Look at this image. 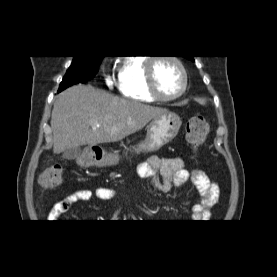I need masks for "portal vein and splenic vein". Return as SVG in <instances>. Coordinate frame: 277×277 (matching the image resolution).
<instances>
[{"mask_svg": "<svg viewBox=\"0 0 277 277\" xmlns=\"http://www.w3.org/2000/svg\"><path fill=\"white\" fill-rule=\"evenodd\" d=\"M92 124H96V123L92 122ZM96 127H99V125L93 126L92 128L95 129Z\"/></svg>", "mask_w": 277, "mask_h": 277, "instance_id": "18ae733b", "label": "portal vein and splenic vein"}]
</instances>
